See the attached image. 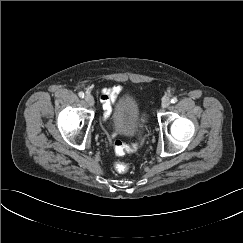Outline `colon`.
Returning <instances> with one entry per match:
<instances>
[{
  "instance_id": "obj_1",
  "label": "colon",
  "mask_w": 243,
  "mask_h": 243,
  "mask_svg": "<svg viewBox=\"0 0 243 243\" xmlns=\"http://www.w3.org/2000/svg\"><path fill=\"white\" fill-rule=\"evenodd\" d=\"M138 147V142H133L131 145H128L120 140H117L114 143V150L117 155H124L128 152H134L138 149ZM114 168L119 173H125L128 170V165L123 162H118L114 165Z\"/></svg>"
}]
</instances>
